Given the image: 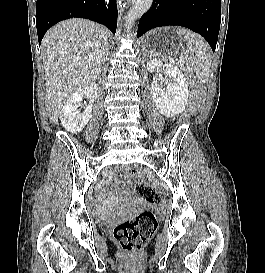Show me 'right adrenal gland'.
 Returning <instances> with one entry per match:
<instances>
[{"instance_id": "2a0ac1e0", "label": "right adrenal gland", "mask_w": 265, "mask_h": 273, "mask_svg": "<svg viewBox=\"0 0 265 273\" xmlns=\"http://www.w3.org/2000/svg\"><path fill=\"white\" fill-rule=\"evenodd\" d=\"M107 55H108V51H107V54L105 56L107 57ZM104 60H105V58H104Z\"/></svg>"}]
</instances>
